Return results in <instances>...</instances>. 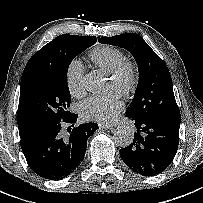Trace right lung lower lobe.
I'll return each mask as SVG.
<instances>
[{
	"mask_svg": "<svg viewBox=\"0 0 203 203\" xmlns=\"http://www.w3.org/2000/svg\"><path fill=\"white\" fill-rule=\"evenodd\" d=\"M78 115L41 132L21 138L20 144L29 167L39 176L49 180H61L76 170L86 152L87 139L98 129L97 123L68 127L65 135L62 126L73 124Z\"/></svg>",
	"mask_w": 203,
	"mask_h": 203,
	"instance_id": "right-lung-lower-lobe-1",
	"label": "right lung lower lobe"
}]
</instances>
